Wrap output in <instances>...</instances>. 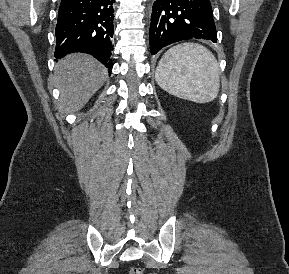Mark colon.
Instances as JSON below:
<instances>
[{"label": "colon", "mask_w": 289, "mask_h": 274, "mask_svg": "<svg viewBox=\"0 0 289 274\" xmlns=\"http://www.w3.org/2000/svg\"><path fill=\"white\" fill-rule=\"evenodd\" d=\"M129 274H143V268L141 267H131L129 270Z\"/></svg>", "instance_id": "obj_1"}]
</instances>
